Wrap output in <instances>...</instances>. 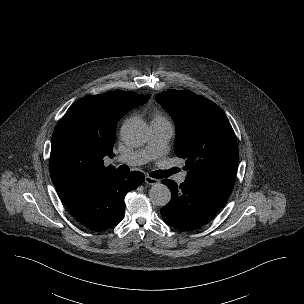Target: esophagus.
I'll return each instance as SVG.
<instances>
[{
    "mask_svg": "<svg viewBox=\"0 0 304 304\" xmlns=\"http://www.w3.org/2000/svg\"><path fill=\"white\" fill-rule=\"evenodd\" d=\"M145 183L149 184V185H155L159 183L158 179L152 178L150 176H145Z\"/></svg>",
    "mask_w": 304,
    "mask_h": 304,
    "instance_id": "obj_1",
    "label": "esophagus"
}]
</instances>
